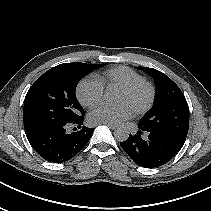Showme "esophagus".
I'll return each instance as SVG.
<instances>
[{"label":"esophagus","instance_id":"1","mask_svg":"<svg viewBox=\"0 0 211 211\" xmlns=\"http://www.w3.org/2000/svg\"><path fill=\"white\" fill-rule=\"evenodd\" d=\"M106 126H108L110 129L114 130L116 129V125L109 124V123H104Z\"/></svg>","mask_w":211,"mask_h":211}]
</instances>
